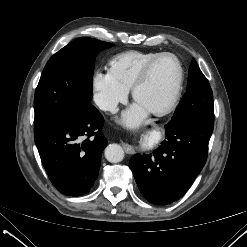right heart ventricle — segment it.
<instances>
[{
	"instance_id": "right-heart-ventricle-1",
	"label": "right heart ventricle",
	"mask_w": 247,
	"mask_h": 247,
	"mask_svg": "<svg viewBox=\"0 0 247 247\" xmlns=\"http://www.w3.org/2000/svg\"><path fill=\"white\" fill-rule=\"evenodd\" d=\"M158 54L134 50L120 53L109 62V72L120 85L129 90L143 67Z\"/></svg>"
}]
</instances>
